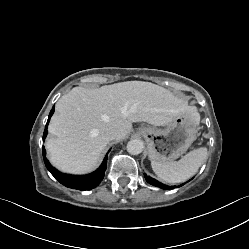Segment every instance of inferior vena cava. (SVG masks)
<instances>
[{
    "label": "inferior vena cava",
    "mask_w": 249,
    "mask_h": 249,
    "mask_svg": "<svg viewBox=\"0 0 249 249\" xmlns=\"http://www.w3.org/2000/svg\"><path fill=\"white\" fill-rule=\"evenodd\" d=\"M118 136V133L116 132V130L114 129H107L105 132H104V137L107 139V140H114L116 139Z\"/></svg>",
    "instance_id": "1"
}]
</instances>
